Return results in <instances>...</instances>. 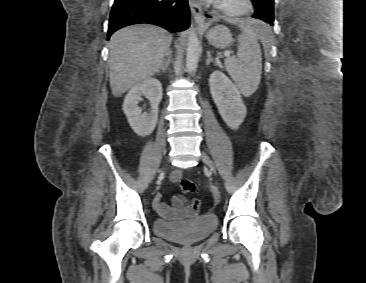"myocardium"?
<instances>
[{"label": "myocardium", "mask_w": 366, "mask_h": 283, "mask_svg": "<svg viewBox=\"0 0 366 283\" xmlns=\"http://www.w3.org/2000/svg\"><path fill=\"white\" fill-rule=\"evenodd\" d=\"M216 10L225 17H240L248 14L253 9L252 0H238V4L232 6L224 1H219L215 5Z\"/></svg>", "instance_id": "obj_1"}]
</instances>
